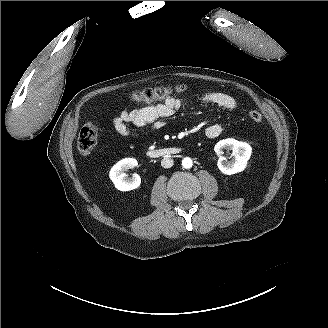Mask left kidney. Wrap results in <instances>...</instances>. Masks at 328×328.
<instances>
[{
    "label": "left kidney",
    "instance_id": "1",
    "mask_svg": "<svg viewBox=\"0 0 328 328\" xmlns=\"http://www.w3.org/2000/svg\"><path fill=\"white\" fill-rule=\"evenodd\" d=\"M223 149L232 150L234 159L228 161L226 157L222 156ZM214 151L219 156L217 162L219 170L226 175H231L241 172L246 168L247 161L251 156L252 148L246 142H240L233 138H227L219 141L215 145Z\"/></svg>",
    "mask_w": 328,
    "mask_h": 328
}]
</instances>
